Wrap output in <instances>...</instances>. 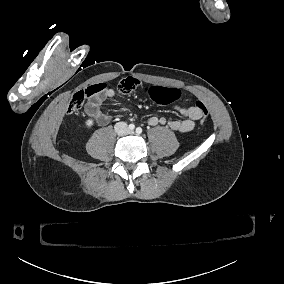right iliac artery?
Returning a JSON list of instances; mask_svg holds the SVG:
<instances>
[{
    "mask_svg": "<svg viewBox=\"0 0 284 284\" xmlns=\"http://www.w3.org/2000/svg\"><path fill=\"white\" fill-rule=\"evenodd\" d=\"M134 128H135V125H134V124H130V125H129V129H130V130H133Z\"/></svg>",
    "mask_w": 284,
    "mask_h": 284,
    "instance_id": "obj_1",
    "label": "right iliac artery"
}]
</instances>
